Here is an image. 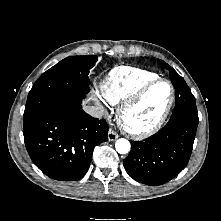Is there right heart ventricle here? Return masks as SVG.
Listing matches in <instances>:
<instances>
[{
    "mask_svg": "<svg viewBox=\"0 0 221 221\" xmlns=\"http://www.w3.org/2000/svg\"><path fill=\"white\" fill-rule=\"evenodd\" d=\"M158 78V75L146 69L131 66H120L111 70L101 84L103 99L118 105L133 95L148 82Z\"/></svg>",
    "mask_w": 221,
    "mask_h": 221,
    "instance_id": "1",
    "label": "right heart ventricle"
}]
</instances>
